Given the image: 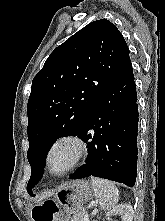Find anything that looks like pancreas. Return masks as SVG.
Masks as SVG:
<instances>
[{
	"instance_id": "pancreas-1",
	"label": "pancreas",
	"mask_w": 165,
	"mask_h": 221,
	"mask_svg": "<svg viewBox=\"0 0 165 221\" xmlns=\"http://www.w3.org/2000/svg\"><path fill=\"white\" fill-rule=\"evenodd\" d=\"M71 221H84V209L75 213Z\"/></svg>"
}]
</instances>
